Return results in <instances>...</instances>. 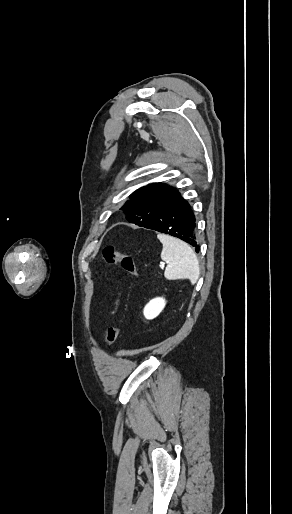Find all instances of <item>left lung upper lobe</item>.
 <instances>
[{
	"label": "left lung upper lobe",
	"instance_id": "1",
	"mask_svg": "<svg viewBox=\"0 0 292 514\" xmlns=\"http://www.w3.org/2000/svg\"><path fill=\"white\" fill-rule=\"evenodd\" d=\"M176 192L175 188L164 183L149 184L133 192L120 210L124 211L129 222L145 227L159 216Z\"/></svg>",
	"mask_w": 292,
	"mask_h": 514
}]
</instances>
